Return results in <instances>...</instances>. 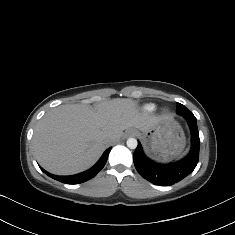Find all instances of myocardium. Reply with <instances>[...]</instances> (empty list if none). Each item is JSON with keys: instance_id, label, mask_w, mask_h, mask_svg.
Instances as JSON below:
<instances>
[{"instance_id": "f54148a6", "label": "myocardium", "mask_w": 235, "mask_h": 235, "mask_svg": "<svg viewBox=\"0 0 235 235\" xmlns=\"http://www.w3.org/2000/svg\"><path fill=\"white\" fill-rule=\"evenodd\" d=\"M168 112V110H164V113H167Z\"/></svg>"}]
</instances>
